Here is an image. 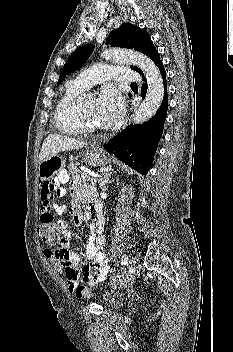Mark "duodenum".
<instances>
[{
  "label": "duodenum",
  "mask_w": 233,
  "mask_h": 352,
  "mask_svg": "<svg viewBox=\"0 0 233 352\" xmlns=\"http://www.w3.org/2000/svg\"><path fill=\"white\" fill-rule=\"evenodd\" d=\"M91 211L94 213V214H97L99 211H100V207H99V204L96 200H94L91 204Z\"/></svg>",
  "instance_id": "duodenum-1"
}]
</instances>
